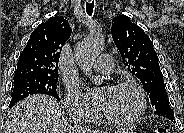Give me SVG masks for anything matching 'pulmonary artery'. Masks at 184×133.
Segmentation results:
<instances>
[{
	"instance_id": "1",
	"label": "pulmonary artery",
	"mask_w": 184,
	"mask_h": 133,
	"mask_svg": "<svg viewBox=\"0 0 184 133\" xmlns=\"http://www.w3.org/2000/svg\"><path fill=\"white\" fill-rule=\"evenodd\" d=\"M94 69L99 73H110L113 70V58L109 54H102L93 65Z\"/></svg>"
}]
</instances>
